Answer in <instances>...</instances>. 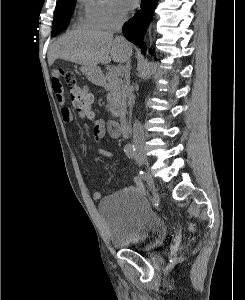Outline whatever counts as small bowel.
Segmentation results:
<instances>
[{
  "label": "small bowel",
  "mask_w": 245,
  "mask_h": 300,
  "mask_svg": "<svg viewBox=\"0 0 245 300\" xmlns=\"http://www.w3.org/2000/svg\"><path fill=\"white\" fill-rule=\"evenodd\" d=\"M52 89L54 91L57 103L62 107L61 108V116L65 123H72L73 122V113L71 110L65 106L66 99L64 95V88L61 81V78L58 74L54 72L52 77ZM94 137L97 142H101L104 138L105 134L108 133L110 137L117 139L119 138L122 133L119 127V124L116 121L110 120V121H104L103 119L94 117ZM98 154L111 158L113 157V153L104 149L100 148L98 150ZM134 185L129 188L131 191L142 193L144 191L143 182L139 177H134L133 179ZM92 197L95 200H99L101 198V192L99 190H94L92 192Z\"/></svg>",
  "instance_id": "c3829d8e"
}]
</instances>
